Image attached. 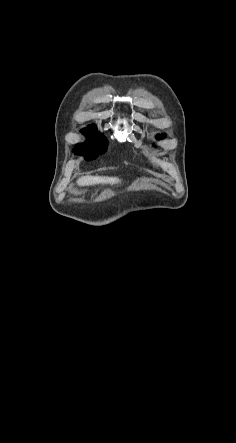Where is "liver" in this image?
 <instances>
[{
    "label": "liver",
    "instance_id": "1",
    "mask_svg": "<svg viewBox=\"0 0 236 443\" xmlns=\"http://www.w3.org/2000/svg\"><path fill=\"white\" fill-rule=\"evenodd\" d=\"M121 181L117 177H102V176H85L78 179L79 186H89L96 184H118Z\"/></svg>",
    "mask_w": 236,
    "mask_h": 443
}]
</instances>
